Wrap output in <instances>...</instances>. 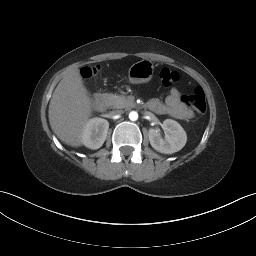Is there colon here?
<instances>
[{"mask_svg": "<svg viewBox=\"0 0 256 256\" xmlns=\"http://www.w3.org/2000/svg\"><path fill=\"white\" fill-rule=\"evenodd\" d=\"M96 71L97 69L95 67H85L82 69L81 74L84 78H88L95 74ZM159 80L164 87H170L179 81V74L176 71L165 67L160 70ZM182 102L195 109L198 113L202 114L206 111V98L201 87H196L193 93L184 95L182 97Z\"/></svg>", "mask_w": 256, "mask_h": 256, "instance_id": "colon-1", "label": "colon"}]
</instances>
